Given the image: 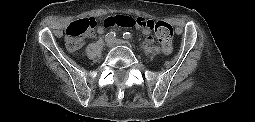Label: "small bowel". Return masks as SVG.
Segmentation results:
<instances>
[{
    "mask_svg": "<svg viewBox=\"0 0 255 122\" xmlns=\"http://www.w3.org/2000/svg\"><path fill=\"white\" fill-rule=\"evenodd\" d=\"M113 25L108 23V18L105 19L97 28V33L103 34L105 33L109 28H111ZM146 34H148V31H144ZM146 42L148 44H153L154 43V37L151 35H147L146 37Z\"/></svg>",
    "mask_w": 255,
    "mask_h": 122,
    "instance_id": "c3829d8e",
    "label": "small bowel"
}]
</instances>
